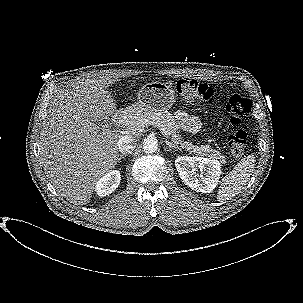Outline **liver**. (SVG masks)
<instances>
[{
    "label": "liver",
    "instance_id": "1",
    "mask_svg": "<svg viewBox=\"0 0 303 303\" xmlns=\"http://www.w3.org/2000/svg\"><path fill=\"white\" fill-rule=\"evenodd\" d=\"M114 76L84 78L56 92L40 133L41 163L56 191L75 205L89 202L99 179L116 165L115 130L95 123L107 121L116 103L107 88Z\"/></svg>",
    "mask_w": 303,
    "mask_h": 303
}]
</instances>
